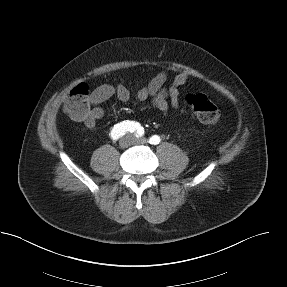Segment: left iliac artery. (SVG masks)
I'll return each mask as SVG.
<instances>
[{"label":"left iliac artery","mask_w":287,"mask_h":287,"mask_svg":"<svg viewBox=\"0 0 287 287\" xmlns=\"http://www.w3.org/2000/svg\"><path fill=\"white\" fill-rule=\"evenodd\" d=\"M161 141L160 137L158 135H153L152 137L149 138V143L153 145L159 144Z\"/></svg>","instance_id":"left-iliac-artery-1"}]
</instances>
